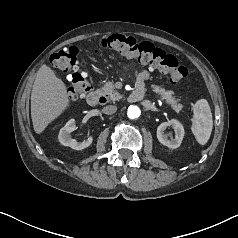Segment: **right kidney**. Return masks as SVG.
Listing matches in <instances>:
<instances>
[{"mask_svg":"<svg viewBox=\"0 0 238 238\" xmlns=\"http://www.w3.org/2000/svg\"><path fill=\"white\" fill-rule=\"evenodd\" d=\"M76 129V123L74 119L69 120L66 125L61 128L58 139L59 142L64 146H69L75 150H82L92 144L93 138L90 136L87 140L83 142H77L75 139L71 138V132Z\"/></svg>","mask_w":238,"mask_h":238,"instance_id":"obj_1","label":"right kidney"}]
</instances>
